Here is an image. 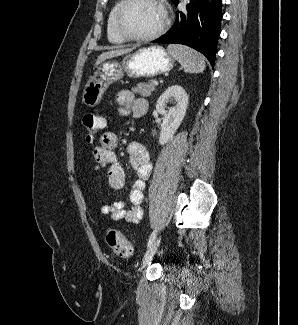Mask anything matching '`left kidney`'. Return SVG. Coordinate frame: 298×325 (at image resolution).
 <instances>
[{"label": "left kidney", "instance_id": "left-kidney-1", "mask_svg": "<svg viewBox=\"0 0 298 325\" xmlns=\"http://www.w3.org/2000/svg\"><path fill=\"white\" fill-rule=\"evenodd\" d=\"M189 96L180 84H172L168 86L155 104L157 112L163 114V122H161V132L159 136V144H166L171 140L179 128L187 110ZM167 102H174V106L166 108Z\"/></svg>", "mask_w": 298, "mask_h": 325}]
</instances>
